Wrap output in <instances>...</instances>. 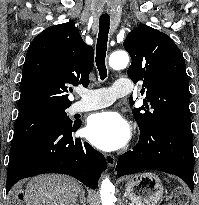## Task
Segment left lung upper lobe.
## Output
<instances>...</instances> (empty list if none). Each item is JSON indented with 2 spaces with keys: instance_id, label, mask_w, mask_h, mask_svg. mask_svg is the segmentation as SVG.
Here are the masks:
<instances>
[{
  "instance_id": "5c2ea615",
  "label": "left lung upper lobe",
  "mask_w": 199,
  "mask_h": 205,
  "mask_svg": "<svg viewBox=\"0 0 199 205\" xmlns=\"http://www.w3.org/2000/svg\"><path fill=\"white\" fill-rule=\"evenodd\" d=\"M123 45L132 59L128 76L135 83L143 81L140 93L146 95L145 107L133 110L140 132L158 129L166 120L191 122L185 60L172 39L142 24L129 32Z\"/></svg>"
}]
</instances>
